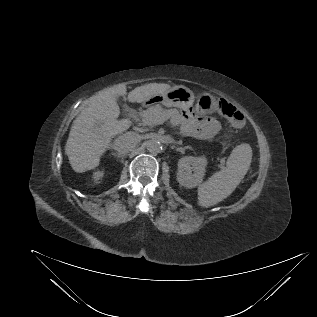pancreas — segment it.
Returning <instances> with one entry per match:
<instances>
[{"label":"pancreas","mask_w":317,"mask_h":317,"mask_svg":"<svg viewBox=\"0 0 317 317\" xmlns=\"http://www.w3.org/2000/svg\"><path fill=\"white\" fill-rule=\"evenodd\" d=\"M163 112V109L160 105H155L149 107L147 110L141 111L139 113V116L143 122L144 125H150L152 126L153 124H150V120L156 117L157 115L161 114Z\"/></svg>","instance_id":"cf45deb5"}]
</instances>
